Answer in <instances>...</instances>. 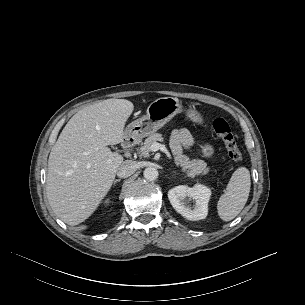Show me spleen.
<instances>
[{
  "label": "spleen",
  "mask_w": 305,
  "mask_h": 305,
  "mask_svg": "<svg viewBox=\"0 0 305 305\" xmlns=\"http://www.w3.org/2000/svg\"><path fill=\"white\" fill-rule=\"evenodd\" d=\"M250 172L245 167H239L232 174L225 193L221 195L217 210L223 221L234 219L244 208L250 192Z\"/></svg>",
  "instance_id": "obj_1"
}]
</instances>
